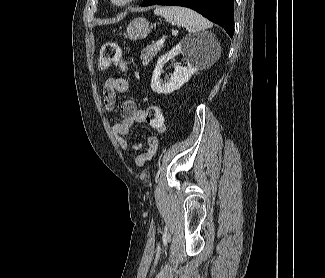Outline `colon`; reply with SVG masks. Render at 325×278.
<instances>
[{"label": "colon", "mask_w": 325, "mask_h": 278, "mask_svg": "<svg viewBox=\"0 0 325 278\" xmlns=\"http://www.w3.org/2000/svg\"><path fill=\"white\" fill-rule=\"evenodd\" d=\"M123 50L116 43H105L102 45L98 58V68L100 70L109 69L112 66L122 67ZM145 121L153 128L161 129L165 124V116L158 106H149L146 110Z\"/></svg>", "instance_id": "1"}]
</instances>
